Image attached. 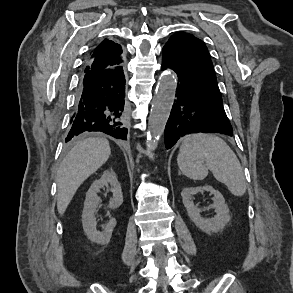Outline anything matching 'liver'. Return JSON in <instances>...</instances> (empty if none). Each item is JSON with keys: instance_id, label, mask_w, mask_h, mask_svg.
Returning <instances> with one entry per match:
<instances>
[{"instance_id": "1", "label": "liver", "mask_w": 293, "mask_h": 293, "mask_svg": "<svg viewBox=\"0 0 293 293\" xmlns=\"http://www.w3.org/2000/svg\"><path fill=\"white\" fill-rule=\"evenodd\" d=\"M104 138H86L67 154L57 171V209L63 215L80 185L109 159Z\"/></svg>"}]
</instances>
